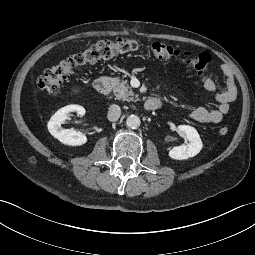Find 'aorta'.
Here are the masks:
<instances>
[{
    "instance_id": "obj_1",
    "label": "aorta",
    "mask_w": 255,
    "mask_h": 255,
    "mask_svg": "<svg viewBox=\"0 0 255 255\" xmlns=\"http://www.w3.org/2000/svg\"><path fill=\"white\" fill-rule=\"evenodd\" d=\"M127 126L136 129L140 126L141 120L137 115H130L126 120Z\"/></svg>"
}]
</instances>
